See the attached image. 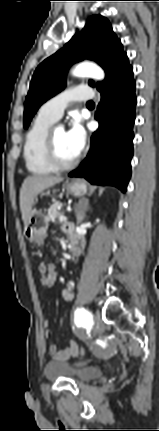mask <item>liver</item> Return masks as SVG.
<instances>
[{"label": "liver", "instance_id": "6515ba94", "mask_svg": "<svg viewBox=\"0 0 159 431\" xmlns=\"http://www.w3.org/2000/svg\"><path fill=\"white\" fill-rule=\"evenodd\" d=\"M63 181L61 177L34 175L27 177L20 189V210L24 225L27 224L31 213L35 197L45 189Z\"/></svg>", "mask_w": 159, "mask_h": 431}]
</instances>
